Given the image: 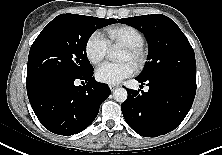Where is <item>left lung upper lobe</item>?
I'll use <instances>...</instances> for the list:
<instances>
[{
    "instance_id": "obj_1",
    "label": "left lung upper lobe",
    "mask_w": 222,
    "mask_h": 155,
    "mask_svg": "<svg viewBox=\"0 0 222 155\" xmlns=\"http://www.w3.org/2000/svg\"><path fill=\"white\" fill-rule=\"evenodd\" d=\"M118 22L138 29L147 38L148 62L138 77L177 75L196 81L193 48L174 21L161 14H152L118 19Z\"/></svg>"
}]
</instances>
